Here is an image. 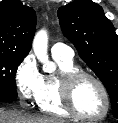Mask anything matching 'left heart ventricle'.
Masks as SVG:
<instances>
[{
  "label": "left heart ventricle",
  "mask_w": 118,
  "mask_h": 123,
  "mask_svg": "<svg viewBox=\"0 0 118 123\" xmlns=\"http://www.w3.org/2000/svg\"><path fill=\"white\" fill-rule=\"evenodd\" d=\"M77 109L86 116H99L104 112L105 100L98 85L89 78L80 80L73 92Z\"/></svg>",
  "instance_id": "obj_1"
}]
</instances>
